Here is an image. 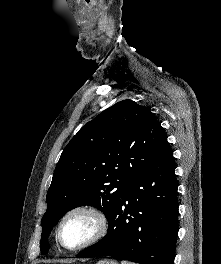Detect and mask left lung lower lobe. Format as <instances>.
<instances>
[{"mask_svg": "<svg viewBox=\"0 0 221 264\" xmlns=\"http://www.w3.org/2000/svg\"><path fill=\"white\" fill-rule=\"evenodd\" d=\"M177 183L168 142L128 186L112 211L108 232L76 257L113 256L140 264H174L178 233Z\"/></svg>", "mask_w": 221, "mask_h": 264, "instance_id": "obj_1", "label": "left lung lower lobe"}]
</instances>
